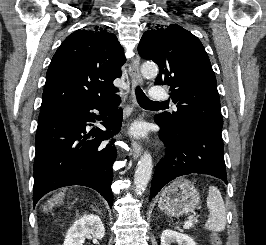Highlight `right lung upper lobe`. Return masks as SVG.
<instances>
[{"mask_svg":"<svg viewBox=\"0 0 266 245\" xmlns=\"http://www.w3.org/2000/svg\"><path fill=\"white\" fill-rule=\"evenodd\" d=\"M117 37L102 28L77 30L54 54L43 91L39 121L66 108L105 99L118 89L126 59Z\"/></svg>","mask_w":266,"mask_h":245,"instance_id":"right-lung-upper-lobe-1","label":"right lung upper lobe"}]
</instances>
